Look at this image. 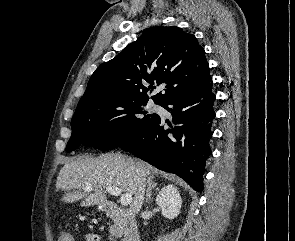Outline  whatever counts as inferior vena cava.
Segmentation results:
<instances>
[{
  "label": "inferior vena cava",
  "instance_id": "obj_1",
  "mask_svg": "<svg viewBox=\"0 0 295 241\" xmlns=\"http://www.w3.org/2000/svg\"><path fill=\"white\" fill-rule=\"evenodd\" d=\"M136 185L137 192L135 193V198L132 204L133 211L138 213L142 208L144 201L145 187H146V174L140 170H136Z\"/></svg>",
  "mask_w": 295,
  "mask_h": 241
}]
</instances>
